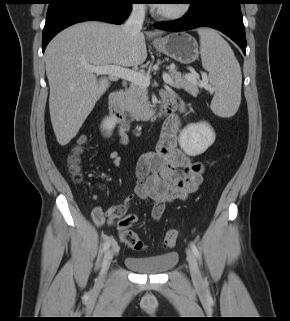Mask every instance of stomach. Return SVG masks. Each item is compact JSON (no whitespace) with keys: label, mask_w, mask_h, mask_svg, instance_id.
Returning <instances> with one entry per match:
<instances>
[{"label":"stomach","mask_w":290,"mask_h":321,"mask_svg":"<svg viewBox=\"0 0 290 321\" xmlns=\"http://www.w3.org/2000/svg\"><path fill=\"white\" fill-rule=\"evenodd\" d=\"M157 51L182 64L193 63L199 55L197 41L185 32L171 33L153 42Z\"/></svg>","instance_id":"0dacf381"}]
</instances>
